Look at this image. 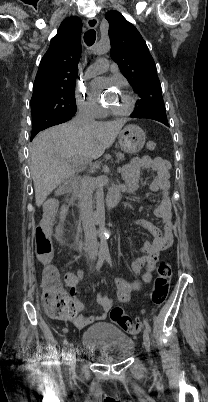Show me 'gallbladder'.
Returning a JSON list of instances; mask_svg holds the SVG:
<instances>
[{"mask_svg":"<svg viewBox=\"0 0 208 402\" xmlns=\"http://www.w3.org/2000/svg\"><path fill=\"white\" fill-rule=\"evenodd\" d=\"M71 188V183L69 181H60L55 189L57 195H64L66 190Z\"/></svg>","mask_w":208,"mask_h":402,"instance_id":"bac80fb5","label":"gallbladder"}]
</instances>
